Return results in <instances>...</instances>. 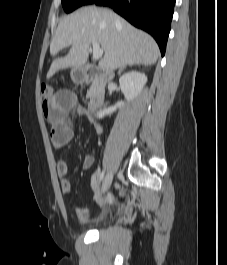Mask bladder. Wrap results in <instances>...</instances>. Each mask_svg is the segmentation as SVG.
Returning a JSON list of instances; mask_svg holds the SVG:
<instances>
[{
  "mask_svg": "<svg viewBox=\"0 0 227 265\" xmlns=\"http://www.w3.org/2000/svg\"><path fill=\"white\" fill-rule=\"evenodd\" d=\"M106 223V220L103 221L102 225H104Z\"/></svg>",
  "mask_w": 227,
  "mask_h": 265,
  "instance_id": "1",
  "label": "bladder"
}]
</instances>
